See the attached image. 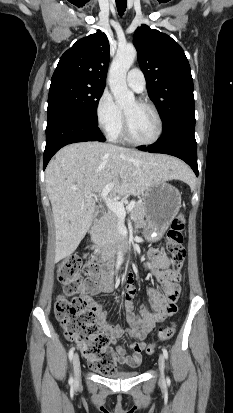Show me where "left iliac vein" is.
I'll return each mask as SVG.
<instances>
[{
    "label": "left iliac vein",
    "mask_w": 233,
    "mask_h": 413,
    "mask_svg": "<svg viewBox=\"0 0 233 413\" xmlns=\"http://www.w3.org/2000/svg\"><path fill=\"white\" fill-rule=\"evenodd\" d=\"M158 364H159V370H160V381L163 382L164 381V368H165V358L163 354L159 355Z\"/></svg>",
    "instance_id": "1"
}]
</instances>
